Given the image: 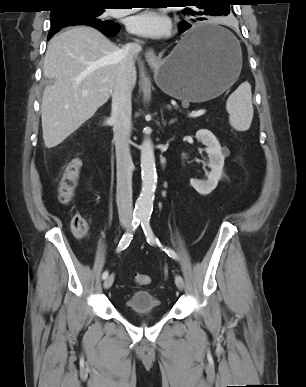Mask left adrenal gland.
Here are the masks:
<instances>
[{
    "instance_id": "a2214340",
    "label": "left adrenal gland",
    "mask_w": 306,
    "mask_h": 387,
    "mask_svg": "<svg viewBox=\"0 0 306 387\" xmlns=\"http://www.w3.org/2000/svg\"><path fill=\"white\" fill-rule=\"evenodd\" d=\"M177 121V119L176 118H174V119H171L170 121H169V125H171V124H173L174 122H176Z\"/></svg>"
}]
</instances>
